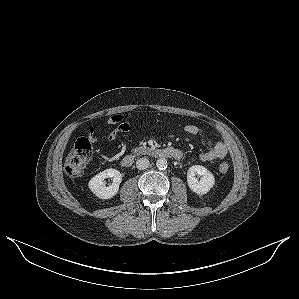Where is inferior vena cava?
<instances>
[{"mask_svg":"<svg viewBox=\"0 0 299 299\" xmlns=\"http://www.w3.org/2000/svg\"><path fill=\"white\" fill-rule=\"evenodd\" d=\"M150 162L146 157L140 158L136 161V167L139 170H144L148 168Z\"/></svg>","mask_w":299,"mask_h":299,"instance_id":"1","label":"inferior vena cava"}]
</instances>
